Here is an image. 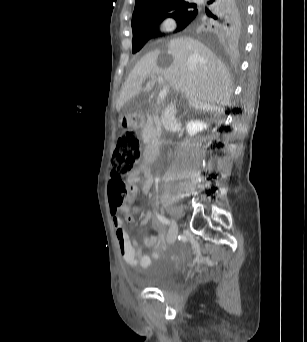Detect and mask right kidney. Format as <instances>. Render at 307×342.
<instances>
[{
    "label": "right kidney",
    "mask_w": 307,
    "mask_h": 342,
    "mask_svg": "<svg viewBox=\"0 0 307 342\" xmlns=\"http://www.w3.org/2000/svg\"><path fill=\"white\" fill-rule=\"evenodd\" d=\"M208 128V124L206 122H201V120H190L188 124H186V130L189 136H196L198 132H202V130H206Z\"/></svg>",
    "instance_id": "right-kidney-1"
}]
</instances>
